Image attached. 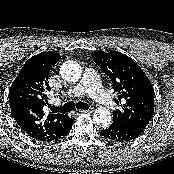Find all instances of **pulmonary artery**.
<instances>
[{
    "mask_svg": "<svg viewBox=\"0 0 174 174\" xmlns=\"http://www.w3.org/2000/svg\"><path fill=\"white\" fill-rule=\"evenodd\" d=\"M84 94H89L97 103L106 108H114V102L103 88L99 76L92 69H86L81 81L67 91L70 97Z\"/></svg>",
    "mask_w": 174,
    "mask_h": 174,
    "instance_id": "pulmonary-artery-1",
    "label": "pulmonary artery"
}]
</instances>
